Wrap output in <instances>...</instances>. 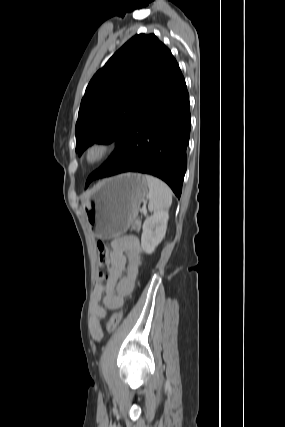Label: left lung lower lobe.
<instances>
[{
  "mask_svg": "<svg viewBox=\"0 0 285 427\" xmlns=\"http://www.w3.org/2000/svg\"><path fill=\"white\" fill-rule=\"evenodd\" d=\"M189 95L172 56L146 106L113 155L86 181L124 172L151 174L164 180L179 198L187 167L190 135Z\"/></svg>",
  "mask_w": 285,
  "mask_h": 427,
  "instance_id": "left-lung-lower-lobe-1",
  "label": "left lung lower lobe"
}]
</instances>
